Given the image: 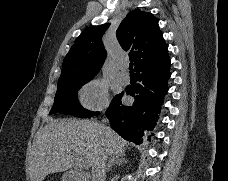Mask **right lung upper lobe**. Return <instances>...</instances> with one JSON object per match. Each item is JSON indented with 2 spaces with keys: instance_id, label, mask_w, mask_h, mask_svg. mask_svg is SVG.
Returning <instances> with one entry per match:
<instances>
[{
  "instance_id": "right-lung-upper-lobe-1",
  "label": "right lung upper lobe",
  "mask_w": 228,
  "mask_h": 181,
  "mask_svg": "<svg viewBox=\"0 0 228 181\" xmlns=\"http://www.w3.org/2000/svg\"><path fill=\"white\" fill-rule=\"evenodd\" d=\"M108 24L85 29L63 61L58 84L69 81L92 79L101 68L106 51L102 36ZM116 36L125 51H130V61L135 67L166 47L158 20L142 10L131 11L116 31Z\"/></svg>"
}]
</instances>
